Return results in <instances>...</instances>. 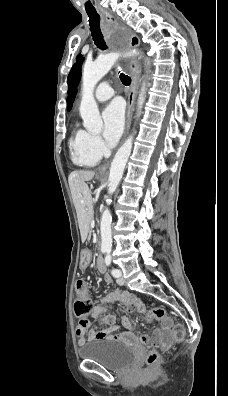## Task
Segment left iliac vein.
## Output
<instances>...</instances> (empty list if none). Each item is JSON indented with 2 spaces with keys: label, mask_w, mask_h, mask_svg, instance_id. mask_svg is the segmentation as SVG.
<instances>
[{
  "label": "left iliac vein",
  "mask_w": 228,
  "mask_h": 396,
  "mask_svg": "<svg viewBox=\"0 0 228 396\" xmlns=\"http://www.w3.org/2000/svg\"><path fill=\"white\" fill-rule=\"evenodd\" d=\"M117 283H118L119 285H124L125 281H124V278L122 277V275H120V276L117 278Z\"/></svg>",
  "instance_id": "left-iliac-vein-1"
}]
</instances>
